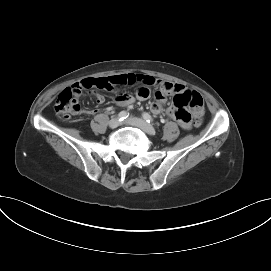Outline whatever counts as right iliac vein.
I'll list each match as a JSON object with an SVG mask.
<instances>
[{
	"label": "right iliac vein",
	"mask_w": 271,
	"mask_h": 271,
	"mask_svg": "<svg viewBox=\"0 0 271 271\" xmlns=\"http://www.w3.org/2000/svg\"><path fill=\"white\" fill-rule=\"evenodd\" d=\"M120 125V120L119 118H112L109 122V126L111 128H117Z\"/></svg>",
	"instance_id": "1"
}]
</instances>
